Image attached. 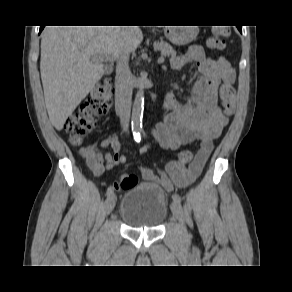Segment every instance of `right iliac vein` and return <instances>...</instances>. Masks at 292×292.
Segmentation results:
<instances>
[{
    "label": "right iliac vein",
    "mask_w": 292,
    "mask_h": 292,
    "mask_svg": "<svg viewBox=\"0 0 292 292\" xmlns=\"http://www.w3.org/2000/svg\"><path fill=\"white\" fill-rule=\"evenodd\" d=\"M116 204V195L112 193L108 196L106 203H105V213L109 214L114 209Z\"/></svg>",
    "instance_id": "right-iliac-vein-1"
}]
</instances>
